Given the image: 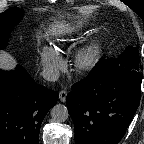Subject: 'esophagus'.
I'll return each mask as SVG.
<instances>
[{"label": "esophagus", "mask_w": 144, "mask_h": 144, "mask_svg": "<svg viewBox=\"0 0 144 144\" xmlns=\"http://www.w3.org/2000/svg\"><path fill=\"white\" fill-rule=\"evenodd\" d=\"M66 97H67V91L62 90L59 93V99L61 102H65L66 101Z\"/></svg>", "instance_id": "34e87169"}]
</instances>
